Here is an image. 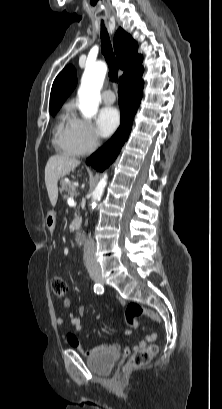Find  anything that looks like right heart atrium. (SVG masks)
I'll return each instance as SVG.
<instances>
[{
  "label": "right heart atrium",
  "instance_id": "1",
  "mask_svg": "<svg viewBox=\"0 0 222 409\" xmlns=\"http://www.w3.org/2000/svg\"><path fill=\"white\" fill-rule=\"evenodd\" d=\"M71 128L73 137L82 154L91 153L100 146L99 137L91 122L79 117H73Z\"/></svg>",
  "mask_w": 222,
  "mask_h": 409
}]
</instances>
